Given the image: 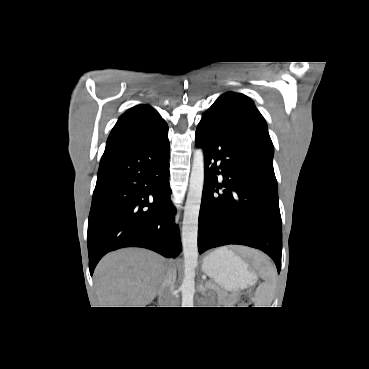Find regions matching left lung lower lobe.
<instances>
[{
    "instance_id": "0a47b994",
    "label": "left lung lower lobe",
    "mask_w": 369,
    "mask_h": 369,
    "mask_svg": "<svg viewBox=\"0 0 369 369\" xmlns=\"http://www.w3.org/2000/svg\"><path fill=\"white\" fill-rule=\"evenodd\" d=\"M195 141L205 163L199 253L228 244L250 246L268 254L279 273L282 225L272 158L212 116H202Z\"/></svg>"
}]
</instances>
